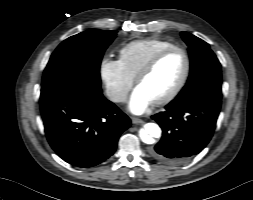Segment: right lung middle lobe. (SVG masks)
Wrapping results in <instances>:
<instances>
[{
	"mask_svg": "<svg viewBox=\"0 0 253 200\" xmlns=\"http://www.w3.org/2000/svg\"><path fill=\"white\" fill-rule=\"evenodd\" d=\"M116 31L89 30L71 36L53 52L45 68L43 86L76 82L101 88L100 63Z\"/></svg>",
	"mask_w": 253,
	"mask_h": 200,
	"instance_id": "1",
	"label": "right lung middle lobe"
}]
</instances>
